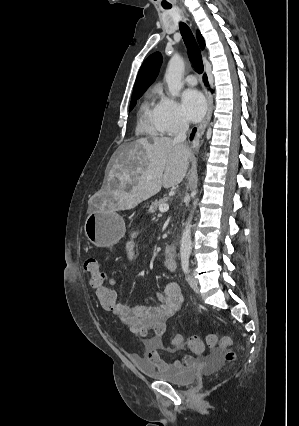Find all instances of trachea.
<instances>
[{
  "label": "trachea",
  "mask_w": 299,
  "mask_h": 426,
  "mask_svg": "<svg viewBox=\"0 0 299 426\" xmlns=\"http://www.w3.org/2000/svg\"><path fill=\"white\" fill-rule=\"evenodd\" d=\"M180 32L184 43L187 47L189 58L195 67V69L199 72H203V62L201 57L200 49L196 43L193 33L190 28L185 23H180Z\"/></svg>",
  "instance_id": "trachea-1"
}]
</instances>
